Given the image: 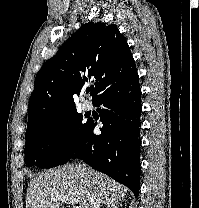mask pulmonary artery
I'll list each match as a JSON object with an SVG mask.
<instances>
[{
	"label": "pulmonary artery",
	"instance_id": "e3ab8cb5",
	"mask_svg": "<svg viewBox=\"0 0 199 208\" xmlns=\"http://www.w3.org/2000/svg\"><path fill=\"white\" fill-rule=\"evenodd\" d=\"M82 108H83V110H85V111L91 110V109H92V104H91V102H89L88 100H83V101H82Z\"/></svg>",
	"mask_w": 199,
	"mask_h": 208
}]
</instances>
